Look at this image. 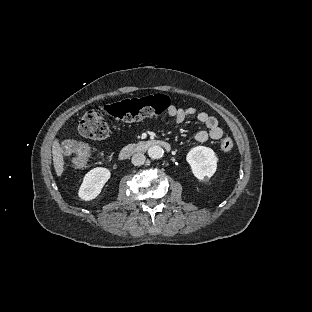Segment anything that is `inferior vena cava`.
Segmentation results:
<instances>
[{"mask_svg": "<svg viewBox=\"0 0 312 312\" xmlns=\"http://www.w3.org/2000/svg\"><path fill=\"white\" fill-rule=\"evenodd\" d=\"M145 156L142 153H136L132 156V164L135 166H140L145 163Z\"/></svg>", "mask_w": 312, "mask_h": 312, "instance_id": "1", "label": "inferior vena cava"}]
</instances>
